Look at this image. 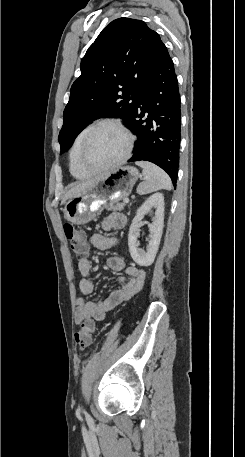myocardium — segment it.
<instances>
[{"instance_id":"obj_1","label":"myocardium","mask_w":245,"mask_h":457,"mask_svg":"<svg viewBox=\"0 0 245 457\" xmlns=\"http://www.w3.org/2000/svg\"><path fill=\"white\" fill-rule=\"evenodd\" d=\"M106 128H110V129H113L117 132H119L120 134H122L125 139H126V147H125V150L123 151V153L113 162L111 163L110 165L106 166V167H103V168H100V169H91L89 168L85 161H84V153L87 149V147L89 146L92 138L101 130L103 129H106ZM133 146H134V137L133 135L130 133V131L125 128L122 124L118 123V122H113V121H103V122H99L97 124H95L88 132L87 134L85 135L84 137V140L82 142V145L81 147L79 148L78 150V153H77V161H78V164L80 166V168L89 176H93V175H97V174H100V173H103V172H107V171H111L113 169H115L116 167H118L120 164H122L124 161H126L130 154H131V151L133 149Z\"/></svg>"}]
</instances>
